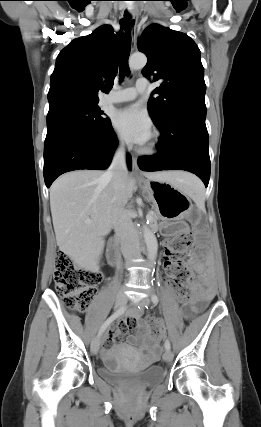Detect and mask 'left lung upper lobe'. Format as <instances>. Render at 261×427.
Masks as SVG:
<instances>
[{
    "label": "left lung upper lobe",
    "instance_id": "obj_1",
    "mask_svg": "<svg viewBox=\"0 0 261 427\" xmlns=\"http://www.w3.org/2000/svg\"><path fill=\"white\" fill-rule=\"evenodd\" d=\"M138 49L148 58L142 74L161 82L152 92L159 96L148 101L154 123L163 122L179 105L206 107L200 50L188 35L153 23L143 31Z\"/></svg>",
    "mask_w": 261,
    "mask_h": 427
}]
</instances>
